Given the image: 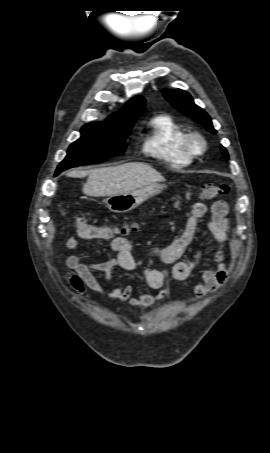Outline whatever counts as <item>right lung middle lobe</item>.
Returning <instances> with one entry per match:
<instances>
[{
	"instance_id": "obj_1",
	"label": "right lung middle lobe",
	"mask_w": 270,
	"mask_h": 453,
	"mask_svg": "<svg viewBox=\"0 0 270 453\" xmlns=\"http://www.w3.org/2000/svg\"><path fill=\"white\" fill-rule=\"evenodd\" d=\"M133 125L126 128H113L100 123L85 125L82 136L68 148L67 156L58 165L55 176L71 167L101 163L116 155H121L126 148L124 140Z\"/></svg>"
}]
</instances>
